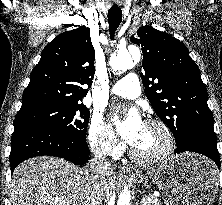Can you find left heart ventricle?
<instances>
[{"label":"left heart ventricle","instance_id":"1","mask_svg":"<svg viewBox=\"0 0 222 205\" xmlns=\"http://www.w3.org/2000/svg\"><path fill=\"white\" fill-rule=\"evenodd\" d=\"M165 146V136L156 126L145 123L133 148L142 156L159 153Z\"/></svg>","mask_w":222,"mask_h":205}]
</instances>
